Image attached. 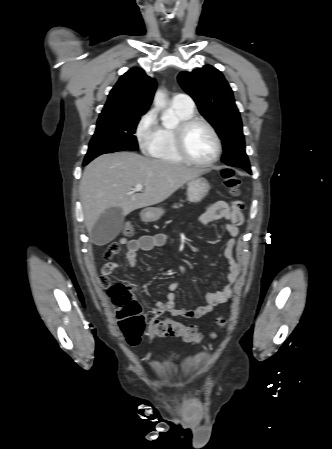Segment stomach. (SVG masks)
Listing matches in <instances>:
<instances>
[{"mask_svg": "<svg viewBox=\"0 0 332 449\" xmlns=\"http://www.w3.org/2000/svg\"><path fill=\"white\" fill-rule=\"evenodd\" d=\"M210 185L203 177H196L187 183V198L191 203L201 202L208 194ZM164 214L162 208L148 207L141 211L140 217L144 222L159 220Z\"/></svg>", "mask_w": 332, "mask_h": 449, "instance_id": "obj_1", "label": "stomach"}]
</instances>
